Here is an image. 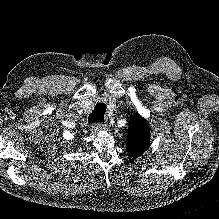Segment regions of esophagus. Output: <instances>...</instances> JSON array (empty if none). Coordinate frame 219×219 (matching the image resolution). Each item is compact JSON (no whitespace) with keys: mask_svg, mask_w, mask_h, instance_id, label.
I'll use <instances>...</instances> for the list:
<instances>
[{"mask_svg":"<svg viewBox=\"0 0 219 219\" xmlns=\"http://www.w3.org/2000/svg\"><path fill=\"white\" fill-rule=\"evenodd\" d=\"M106 128V124L105 123H96L93 126V129L96 131H100V130H104Z\"/></svg>","mask_w":219,"mask_h":219,"instance_id":"esophagus-1","label":"esophagus"}]
</instances>
